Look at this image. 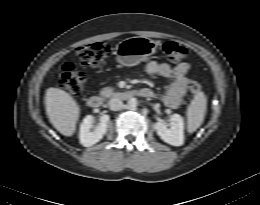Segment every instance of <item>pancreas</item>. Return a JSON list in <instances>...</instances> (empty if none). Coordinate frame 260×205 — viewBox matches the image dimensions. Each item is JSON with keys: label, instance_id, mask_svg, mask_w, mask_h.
Masks as SVG:
<instances>
[{"label": "pancreas", "instance_id": "1", "mask_svg": "<svg viewBox=\"0 0 260 205\" xmlns=\"http://www.w3.org/2000/svg\"><path fill=\"white\" fill-rule=\"evenodd\" d=\"M100 95L104 97H111L115 95L114 88L112 87H104L100 91Z\"/></svg>", "mask_w": 260, "mask_h": 205}]
</instances>
